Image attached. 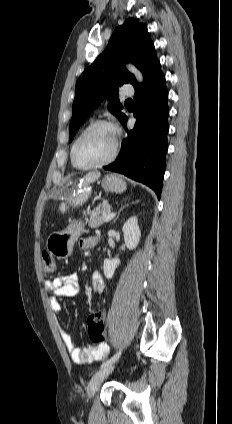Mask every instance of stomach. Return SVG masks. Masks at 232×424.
Masks as SVG:
<instances>
[{
    "mask_svg": "<svg viewBox=\"0 0 232 424\" xmlns=\"http://www.w3.org/2000/svg\"><path fill=\"white\" fill-rule=\"evenodd\" d=\"M105 191L123 193L127 189L126 182L116 176L107 175L101 183ZM66 189H61L59 194H63ZM84 232V223L74 222L64 231L52 232L46 240V248L51 255L57 259H65L72 253L75 241Z\"/></svg>",
    "mask_w": 232,
    "mask_h": 424,
    "instance_id": "obj_1",
    "label": "stomach"
}]
</instances>
